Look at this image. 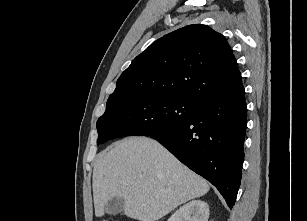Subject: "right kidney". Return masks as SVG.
Returning a JSON list of instances; mask_svg holds the SVG:
<instances>
[{
    "label": "right kidney",
    "mask_w": 307,
    "mask_h": 221,
    "mask_svg": "<svg viewBox=\"0 0 307 221\" xmlns=\"http://www.w3.org/2000/svg\"><path fill=\"white\" fill-rule=\"evenodd\" d=\"M209 206L201 200H193L180 207L168 221H208Z\"/></svg>",
    "instance_id": "ca27d5eb"
}]
</instances>
